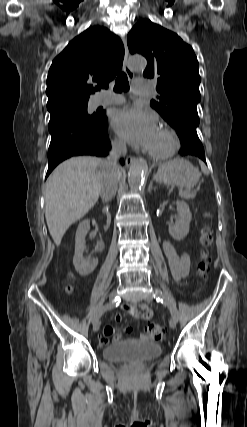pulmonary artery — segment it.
I'll return each mask as SVG.
<instances>
[{
	"instance_id": "obj_1",
	"label": "pulmonary artery",
	"mask_w": 247,
	"mask_h": 427,
	"mask_svg": "<svg viewBox=\"0 0 247 427\" xmlns=\"http://www.w3.org/2000/svg\"><path fill=\"white\" fill-rule=\"evenodd\" d=\"M148 89V84L146 81L140 80L136 81L133 87V92L135 94H142ZM124 102V98L121 96L113 95L104 97L100 100L99 105H116Z\"/></svg>"
}]
</instances>
